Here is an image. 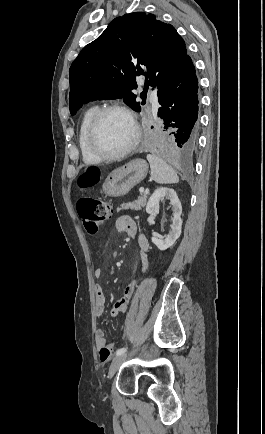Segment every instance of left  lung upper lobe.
Here are the masks:
<instances>
[{
  "label": "left lung upper lobe",
  "instance_id": "left-lung-upper-lobe-1",
  "mask_svg": "<svg viewBox=\"0 0 265 434\" xmlns=\"http://www.w3.org/2000/svg\"><path fill=\"white\" fill-rule=\"evenodd\" d=\"M187 56L176 29L155 15L133 12L117 17L70 67V113L89 101L115 98L140 111L141 103L132 93L135 77L145 75L144 92L152 86L160 96Z\"/></svg>",
  "mask_w": 265,
  "mask_h": 434
}]
</instances>
